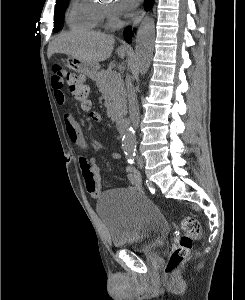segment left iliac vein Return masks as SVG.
<instances>
[{"instance_id": "left-iliac-vein-1", "label": "left iliac vein", "mask_w": 245, "mask_h": 300, "mask_svg": "<svg viewBox=\"0 0 245 300\" xmlns=\"http://www.w3.org/2000/svg\"><path fill=\"white\" fill-rule=\"evenodd\" d=\"M137 164H138V167H139L140 169L143 168V166H144V159H143L142 156H138V157H137Z\"/></svg>"}]
</instances>
